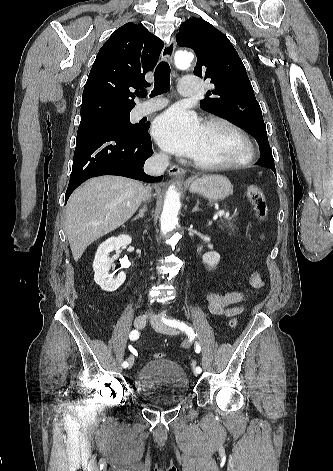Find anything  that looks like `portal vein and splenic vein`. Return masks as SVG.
<instances>
[{
  "label": "portal vein and splenic vein",
  "instance_id": "portal-vein-and-splenic-vein-1",
  "mask_svg": "<svg viewBox=\"0 0 333 471\" xmlns=\"http://www.w3.org/2000/svg\"><path fill=\"white\" fill-rule=\"evenodd\" d=\"M224 214H225V211H224V210H220V211L218 212V216H219V217L223 216Z\"/></svg>",
  "mask_w": 333,
  "mask_h": 471
}]
</instances>
